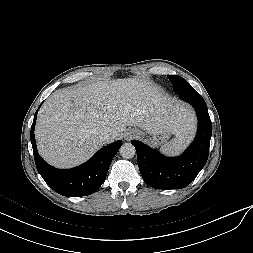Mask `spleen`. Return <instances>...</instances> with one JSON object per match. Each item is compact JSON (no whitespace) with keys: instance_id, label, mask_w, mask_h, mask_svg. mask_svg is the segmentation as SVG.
<instances>
[{"instance_id":"1","label":"spleen","mask_w":253,"mask_h":253,"mask_svg":"<svg viewBox=\"0 0 253 253\" xmlns=\"http://www.w3.org/2000/svg\"><path fill=\"white\" fill-rule=\"evenodd\" d=\"M194 133L195 122L192 116L182 130L176 134V137L161 147V151L170 156L178 155L192 141Z\"/></svg>"}]
</instances>
